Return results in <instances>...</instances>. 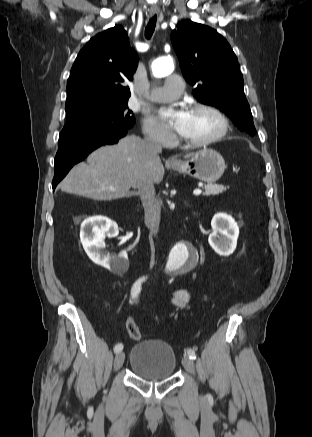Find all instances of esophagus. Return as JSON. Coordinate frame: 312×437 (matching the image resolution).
I'll list each match as a JSON object with an SVG mask.
<instances>
[{"label": "esophagus", "mask_w": 312, "mask_h": 437, "mask_svg": "<svg viewBox=\"0 0 312 437\" xmlns=\"http://www.w3.org/2000/svg\"><path fill=\"white\" fill-rule=\"evenodd\" d=\"M154 14H155V12H152V13H151V16H153ZM168 162H169V163H175L176 160L173 159V158H171V159L168 160Z\"/></svg>", "instance_id": "1"}]
</instances>
